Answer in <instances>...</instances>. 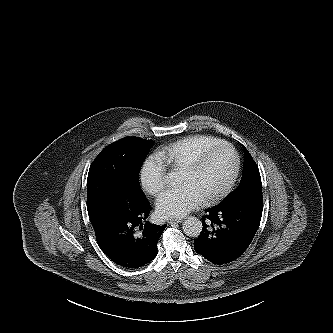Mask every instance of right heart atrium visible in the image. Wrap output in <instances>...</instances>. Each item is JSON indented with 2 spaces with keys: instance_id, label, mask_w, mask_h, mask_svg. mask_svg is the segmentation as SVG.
Wrapping results in <instances>:
<instances>
[{
  "instance_id": "d8ad5b80",
  "label": "right heart atrium",
  "mask_w": 333,
  "mask_h": 333,
  "mask_svg": "<svg viewBox=\"0 0 333 333\" xmlns=\"http://www.w3.org/2000/svg\"><path fill=\"white\" fill-rule=\"evenodd\" d=\"M140 184L145 192L158 195L167 183V164L157 153L149 155L142 163Z\"/></svg>"
}]
</instances>
